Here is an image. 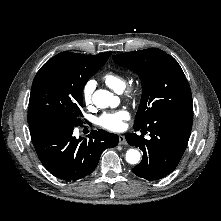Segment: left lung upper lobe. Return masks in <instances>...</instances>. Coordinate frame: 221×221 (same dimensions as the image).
I'll return each instance as SVG.
<instances>
[{
	"label": "left lung upper lobe",
	"instance_id": "5c2ea615",
	"mask_svg": "<svg viewBox=\"0 0 221 221\" xmlns=\"http://www.w3.org/2000/svg\"><path fill=\"white\" fill-rule=\"evenodd\" d=\"M115 63L137 73L142 98L134 127L142 128L159 114L192 113V94L177 61L158 48L113 56Z\"/></svg>",
	"mask_w": 221,
	"mask_h": 221
}]
</instances>
